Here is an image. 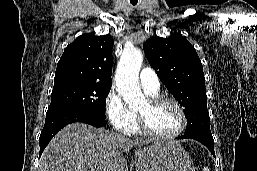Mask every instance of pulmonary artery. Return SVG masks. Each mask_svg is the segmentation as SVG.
<instances>
[{
    "instance_id": "pulmonary-artery-1",
    "label": "pulmonary artery",
    "mask_w": 257,
    "mask_h": 171,
    "mask_svg": "<svg viewBox=\"0 0 257 171\" xmlns=\"http://www.w3.org/2000/svg\"><path fill=\"white\" fill-rule=\"evenodd\" d=\"M139 81L145 92L156 94L160 89V81L156 72L151 68H144L140 72Z\"/></svg>"
}]
</instances>
